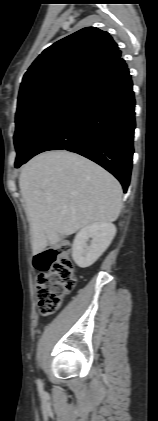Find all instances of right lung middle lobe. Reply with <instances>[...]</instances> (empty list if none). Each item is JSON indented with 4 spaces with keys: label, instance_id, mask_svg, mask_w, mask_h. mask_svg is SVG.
<instances>
[{
    "label": "right lung middle lobe",
    "instance_id": "1",
    "mask_svg": "<svg viewBox=\"0 0 158 421\" xmlns=\"http://www.w3.org/2000/svg\"><path fill=\"white\" fill-rule=\"evenodd\" d=\"M82 87L83 84L76 83L58 84L18 100L14 135L16 168L28 157L39 136Z\"/></svg>",
    "mask_w": 158,
    "mask_h": 421
}]
</instances>
